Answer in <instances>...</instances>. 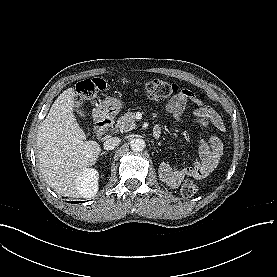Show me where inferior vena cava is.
I'll list each match as a JSON object with an SVG mask.
<instances>
[{"instance_id":"602c4592","label":"inferior vena cava","mask_w":277,"mask_h":277,"mask_svg":"<svg viewBox=\"0 0 277 277\" xmlns=\"http://www.w3.org/2000/svg\"><path fill=\"white\" fill-rule=\"evenodd\" d=\"M120 143V139L118 137H111L109 139H107L104 144L103 147L105 150H112L114 149L118 144Z\"/></svg>"}]
</instances>
